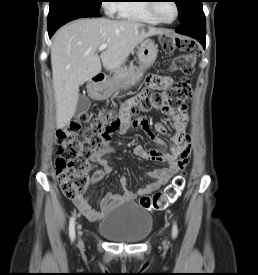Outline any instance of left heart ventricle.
<instances>
[{"mask_svg":"<svg viewBox=\"0 0 258 275\" xmlns=\"http://www.w3.org/2000/svg\"><path fill=\"white\" fill-rule=\"evenodd\" d=\"M158 15L166 20L171 21L175 17V7L172 1H161L157 4Z\"/></svg>","mask_w":258,"mask_h":275,"instance_id":"obj_1","label":"left heart ventricle"}]
</instances>
